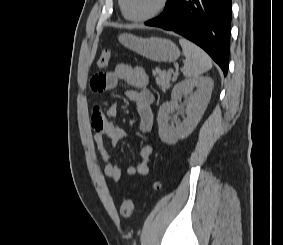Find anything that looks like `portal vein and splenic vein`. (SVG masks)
Masks as SVG:
<instances>
[{
  "mask_svg": "<svg viewBox=\"0 0 283 245\" xmlns=\"http://www.w3.org/2000/svg\"><path fill=\"white\" fill-rule=\"evenodd\" d=\"M168 72H169V73H173L174 70H173L172 68H170V69L168 70Z\"/></svg>",
  "mask_w": 283,
  "mask_h": 245,
  "instance_id": "18ae733b",
  "label": "portal vein and splenic vein"
}]
</instances>
